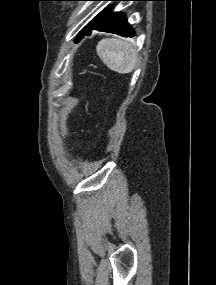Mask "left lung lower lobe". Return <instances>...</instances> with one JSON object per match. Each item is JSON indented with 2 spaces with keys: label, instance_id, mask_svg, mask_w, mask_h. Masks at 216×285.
<instances>
[{
  "label": "left lung lower lobe",
  "instance_id": "obj_1",
  "mask_svg": "<svg viewBox=\"0 0 216 285\" xmlns=\"http://www.w3.org/2000/svg\"><path fill=\"white\" fill-rule=\"evenodd\" d=\"M92 30L114 33L123 37H133L135 35L125 15L120 12H112V9L106 10L91 26L81 31L76 38V42L84 36L90 35Z\"/></svg>",
  "mask_w": 216,
  "mask_h": 285
}]
</instances>
